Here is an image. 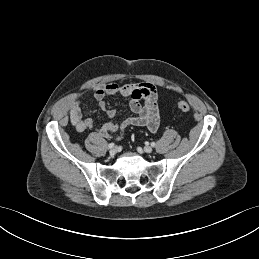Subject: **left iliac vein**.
Returning <instances> with one entry per match:
<instances>
[{
  "mask_svg": "<svg viewBox=\"0 0 259 259\" xmlns=\"http://www.w3.org/2000/svg\"><path fill=\"white\" fill-rule=\"evenodd\" d=\"M152 150H153L152 147L149 146V145H147V146L144 147V151H145L146 153H151Z\"/></svg>",
  "mask_w": 259,
  "mask_h": 259,
  "instance_id": "left-iliac-vein-1",
  "label": "left iliac vein"
}]
</instances>
